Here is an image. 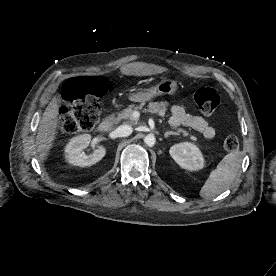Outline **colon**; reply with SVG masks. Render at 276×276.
Wrapping results in <instances>:
<instances>
[{
    "label": "colon",
    "mask_w": 276,
    "mask_h": 276,
    "mask_svg": "<svg viewBox=\"0 0 276 276\" xmlns=\"http://www.w3.org/2000/svg\"><path fill=\"white\" fill-rule=\"evenodd\" d=\"M109 84L100 77H81L68 80L63 88V97L68 106L61 110L62 130L66 134L92 129L100 112V98L109 91ZM193 99L199 110L213 114L220 103L218 92L211 87H199L193 93ZM228 152L239 148L238 138L228 136L223 143Z\"/></svg>",
    "instance_id": "obj_1"
}]
</instances>
